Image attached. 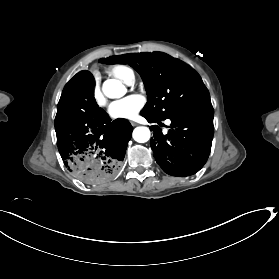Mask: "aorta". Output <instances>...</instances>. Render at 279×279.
I'll use <instances>...</instances> for the list:
<instances>
[{"label": "aorta", "instance_id": "aorta-1", "mask_svg": "<svg viewBox=\"0 0 279 279\" xmlns=\"http://www.w3.org/2000/svg\"><path fill=\"white\" fill-rule=\"evenodd\" d=\"M102 91L108 98H120L126 94V87L115 79H108L103 83ZM134 140L139 143H145L150 139V130L147 127L140 126L133 130Z\"/></svg>", "mask_w": 279, "mask_h": 279}]
</instances>
